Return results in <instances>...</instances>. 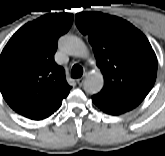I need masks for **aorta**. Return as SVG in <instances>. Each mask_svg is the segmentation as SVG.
Segmentation results:
<instances>
[{"instance_id": "obj_1", "label": "aorta", "mask_w": 165, "mask_h": 156, "mask_svg": "<svg viewBox=\"0 0 165 156\" xmlns=\"http://www.w3.org/2000/svg\"><path fill=\"white\" fill-rule=\"evenodd\" d=\"M60 48L70 56L86 58L89 51L85 43L78 37L72 35L64 36L60 41ZM104 84L103 75L96 71L90 73L84 82V90L89 94L100 92Z\"/></svg>"}]
</instances>
